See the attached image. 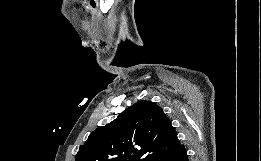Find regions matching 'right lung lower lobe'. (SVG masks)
<instances>
[{"label":"right lung lower lobe","mask_w":261,"mask_h":161,"mask_svg":"<svg viewBox=\"0 0 261 161\" xmlns=\"http://www.w3.org/2000/svg\"><path fill=\"white\" fill-rule=\"evenodd\" d=\"M149 161H188V156L184 145L180 144L168 152L155 155Z\"/></svg>","instance_id":"98d812e1"}]
</instances>
